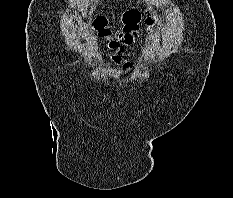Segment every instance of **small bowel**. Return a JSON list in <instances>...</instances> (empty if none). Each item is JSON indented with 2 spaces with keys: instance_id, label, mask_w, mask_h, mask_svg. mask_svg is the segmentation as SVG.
<instances>
[{
  "instance_id": "small-bowel-1",
  "label": "small bowel",
  "mask_w": 233,
  "mask_h": 198,
  "mask_svg": "<svg viewBox=\"0 0 233 198\" xmlns=\"http://www.w3.org/2000/svg\"><path fill=\"white\" fill-rule=\"evenodd\" d=\"M138 37L137 32L119 31L112 36L105 37L107 39V48L112 51L110 56L113 63L120 65L125 71L132 68V64L124 57L123 47L131 46Z\"/></svg>"
}]
</instances>
